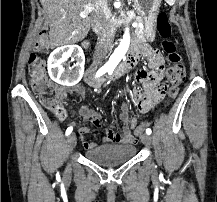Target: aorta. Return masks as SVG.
<instances>
[{
    "mask_svg": "<svg viewBox=\"0 0 217 202\" xmlns=\"http://www.w3.org/2000/svg\"><path fill=\"white\" fill-rule=\"evenodd\" d=\"M120 2H115L114 8H119ZM121 16H125L124 12H120ZM130 30L129 28H125L123 40H121L118 48H116L114 54L111 56V60H114V62H120L122 58H124L125 54H127L130 46Z\"/></svg>",
    "mask_w": 217,
    "mask_h": 202,
    "instance_id": "1",
    "label": "aorta"
}]
</instances>
